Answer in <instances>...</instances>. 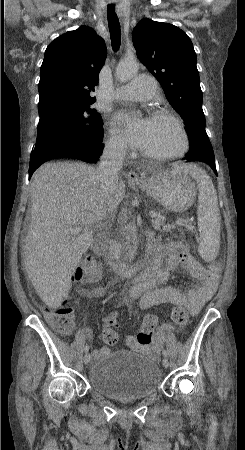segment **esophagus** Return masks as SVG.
<instances>
[{
  "label": "esophagus",
  "mask_w": 245,
  "mask_h": 450,
  "mask_svg": "<svg viewBox=\"0 0 245 450\" xmlns=\"http://www.w3.org/2000/svg\"><path fill=\"white\" fill-rule=\"evenodd\" d=\"M128 178L129 179H131V180H139L140 179V176L138 175V173L137 172H135V171H130V172H128Z\"/></svg>",
  "instance_id": "34e87169"
}]
</instances>
